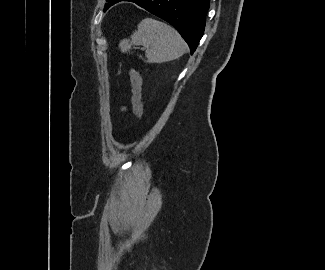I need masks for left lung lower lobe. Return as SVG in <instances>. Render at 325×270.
Instances as JSON below:
<instances>
[{
    "label": "left lung lower lobe",
    "mask_w": 325,
    "mask_h": 270,
    "mask_svg": "<svg viewBox=\"0 0 325 270\" xmlns=\"http://www.w3.org/2000/svg\"><path fill=\"white\" fill-rule=\"evenodd\" d=\"M134 2L173 25L193 53L203 36L209 0H119Z\"/></svg>",
    "instance_id": "obj_1"
}]
</instances>
